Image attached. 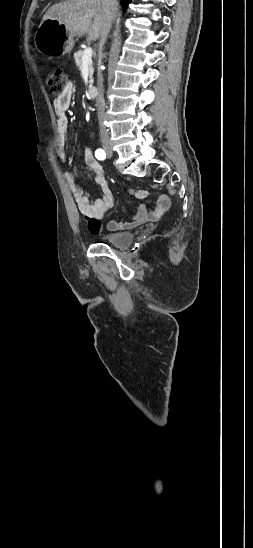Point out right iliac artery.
<instances>
[{"instance_id":"obj_1","label":"right iliac artery","mask_w":253,"mask_h":548,"mask_svg":"<svg viewBox=\"0 0 253 548\" xmlns=\"http://www.w3.org/2000/svg\"><path fill=\"white\" fill-rule=\"evenodd\" d=\"M95 157L98 159V160H104L106 158V153L103 149H97L95 151Z\"/></svg>"}]
</instances>
